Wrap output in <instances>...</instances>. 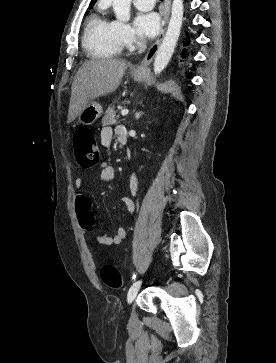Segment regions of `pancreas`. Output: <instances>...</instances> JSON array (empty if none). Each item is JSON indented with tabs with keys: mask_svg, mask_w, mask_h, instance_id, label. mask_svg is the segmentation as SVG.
Wrapping results in <instances>:
<instances>
[{
	"mask_svg": "<svg viewBox=\"0 0 276 363\" xmlns=\"http://www.w3.org/2000/svg\"><path fill=\"white\" fill-rule=\"evenodd\" d=\"M115 122H116V119H115L114 107L110 106V107H108V109L105 112V115L102 119V124L103 125H112Z\"/></svg>",
	"mask_w": 276,
	"mask_h": 363,
	"instance_id": "cf45deb5",
	"label": "pancreas"
}]
</instances>
